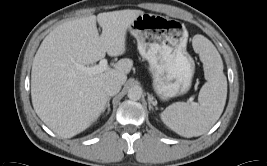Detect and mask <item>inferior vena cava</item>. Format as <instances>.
<instances>
[{
    "mask_svg": "<svg viewBox=\"0 0 267 166\" xmlns=\"http://www.w3.org/2000/svg\"><path fill=\"white\" fill-rule=\"evenodd\" d=\"M121 86H122L121 82L117 80H114V79L108 80L105 83L104 90L107 93V95L113 96V95H116L120 91Z\"/></svg>",
    "mask_w": 267,
    "mask_h": 166,
    "instance_id": "obj_1",
    "label": "inferior vena cava"
}]
</instances>
